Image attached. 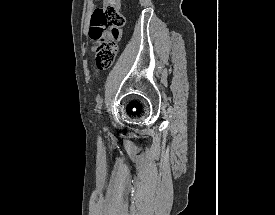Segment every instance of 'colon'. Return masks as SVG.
Segmentation results:
<instances>
[{
  "instance_id": "1",
  "label": "colon",
  "mask_w": 275,
  "mask_h": 215,
  "mask_svg": "<svg viewBox=\"0 0 275 215\" xmlns=\"http://www.w3.org/2000/svg\"><path fill=\"white\" fill-rule=\"evenodd\" d=\"M90 22V38L95 42L96 64L109 67L117 54L125 18L120 13V0H101Z\"/></svg>"
}]
</instances>
